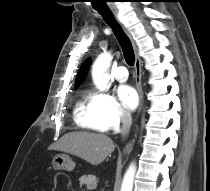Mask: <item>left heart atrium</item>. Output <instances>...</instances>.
I'll return each instance as SVG.
<instances>
[{
	"instance_id": "left-heart-atrium-1",
	"label": "left heart atrium",
	"mask_w": 210,
	"mask_h": 191,
	"mask_svg": "<svg viewBox=\"0 0 210 191\" xmlns=\"http://www.w3.org/2000/svg\"><path fill=\"white\" fill-rule=\"evenodd\" d=\"M118 96L123 106L128 110H134L139 103L138 93L129 85L120 86L118 88Z\"/></svg>"
}]
</instances>
